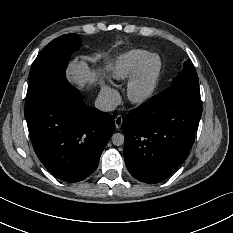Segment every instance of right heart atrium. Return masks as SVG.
Returning a JSON list of instances; mask_svg holds the SVG:
<instances>
[{
  "label": "right heart atrium",
  "mask_w": 233,
  "mask_h": 233,
  "mask_svg": "<svg viewBox=\"0 0 233 233\" xmlns=\"http://www.w3.org/2000/svg\"><path fill=\"white\" fill-rule=\"evenodd\" d=\"M100 97L103 103L109 108L115 107L120 101L118 92L107 84L102 85Z\"/></svg>",
  "instance_id": "1"
}]
</instances>
